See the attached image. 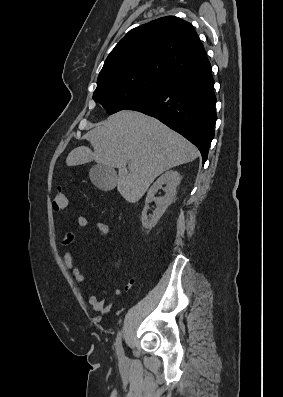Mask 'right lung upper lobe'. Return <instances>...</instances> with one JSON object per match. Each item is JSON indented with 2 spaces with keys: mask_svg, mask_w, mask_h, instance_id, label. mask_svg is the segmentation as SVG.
<instances>
[{
  "mask_svg": "<svg viewBox=\"0 0 283 397\" xmlns=\"http://www.w3.org/2000/svg\"><path fill=\"white\" fill-rule=\"evenodd\" d=\"M210 64L194 27L166 16L130 30L108 55L98 80L150 75L166 81Z\"/></svg>",
  "mask_w": 283,
  "mask_h": 397,
  "instance_id": "1",
  "label": "right lung upper lobe"
}]
</instances>
